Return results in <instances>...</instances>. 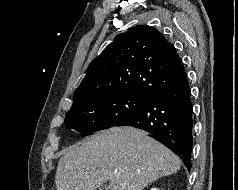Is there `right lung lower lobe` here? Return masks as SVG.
Listing matches in <instances>:
<instances>
[{
    "label": "right lung lower lobe",
    "instance_id": "right-lung-lower-lobe-1",
    "mask_svg": "<svg viewBox=\"0 0 238 190\" xmlns=\"http://www.w3.org/2000/svg\"><path fill=\"white\" fill-rule=\"evenodd\" d=\"M193 106L186 73L151 99L148 105L115 126H133L152 133L191 169Z\"/></svg>",
    "mask_w": 238,
    "mask_h": 190
}]
</instances>
